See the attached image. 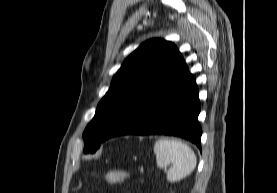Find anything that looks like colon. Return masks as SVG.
<instances>
[{"mask_svg":"<svg viewBox=\"0 0 277 193\" xmlns=\"http://www.w3.org/2000/svg\"><path fill=\"white\" fill-rule=\"evenodd\" d=\"M103 178L109 184H123L130 178V174L123 170H110L104 174Z\"/></svg>","mask_w":277,"mask_h":193,"instance_id":"1","label":"colon"}]
</instances>
